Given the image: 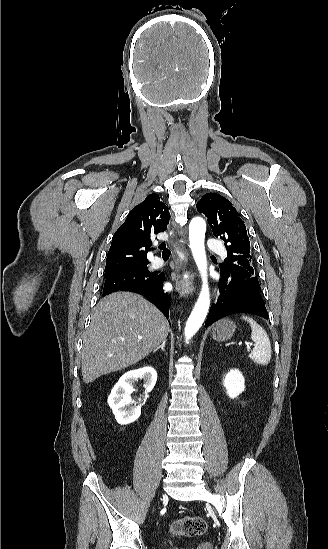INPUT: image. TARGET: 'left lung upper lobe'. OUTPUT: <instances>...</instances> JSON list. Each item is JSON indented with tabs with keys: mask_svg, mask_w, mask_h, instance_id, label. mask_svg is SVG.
<instances>
[{
	"mask_svg": "<svg viewBox=\"0 0 328 549\" xmlns=\"http://www.w3.org/2000/svg\"><path fill=\"white\" fill-rule=\"evenodd\" d=\"M196 207L208 218L214 236L225 242L227 257L219 265L221 272L257 279L251 265L246 227L232 204L219 194L206 193Z\"/></svg>",
	"mask_w": 328,
	"mask_h": 549,
	"instance_id": "1",
	"label": "left lung upper lobe"
}]
</instances>
